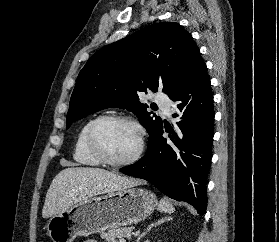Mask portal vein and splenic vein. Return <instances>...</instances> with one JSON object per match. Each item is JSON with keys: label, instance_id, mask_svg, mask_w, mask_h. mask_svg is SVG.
Listing matches in <instances>:
<instances>
[{"label": "portal vein and splenic vein", "instance_id": "obj_1", "mask_svg": "<svg viewBox=\"0 0 279 242\" xmlns=\"http://www.w3.org/2000/svg\"><path fill=\"white\" fill-rule=\"evenodd\" d=\"M119 242H126V240H124V239H120V240H119Z\"/></svg>", "mask_w": 279, "mask_h": 242}]
</instances>
